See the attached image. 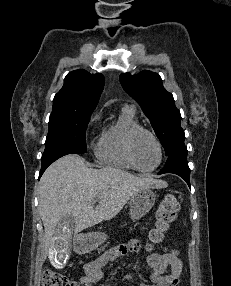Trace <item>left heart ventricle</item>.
Returning <instances> with one entry per match:
<instances>
[{
    "instance_id": "1",
    "label": "left heart ventricle",
    "mask_w": 231,
    "mask_h": 286,
    "mask_svg": "<svg viewBox=\"0 0 231 286\" xmlns=\"http://www.w3.org/2000/svg\"><path fill=\"white\" fill-rule=\"evenodd\" d=\"M133 152L138 166L142 169H151L158 162V148L153 139L147 134H140L136 138Z\"/></svg>"
}]
</instances>
